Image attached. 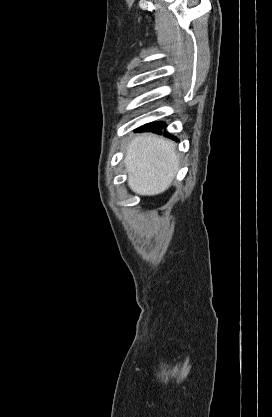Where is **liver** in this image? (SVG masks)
<instances>
[{"mask_svg":"<svg viewBox=\"0 0 272 417\" xmlns=\"http://www.w3.org/2000/svg\"><path fill=\"white\" fill-rule=\"evenodd\" d=\"M128 183L139 195L163 193L173 182L179 168L175 144L153 134H141L131 140L124 158Z\"/></svg>","mask_w":272,"mask_h":417,"instance_id":"6515ba94","label":"liver"}]
</instances>
